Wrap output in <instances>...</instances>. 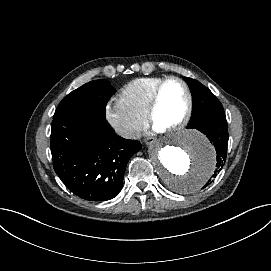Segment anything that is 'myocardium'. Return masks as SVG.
Masks as SVG:
<instances>
[{
    "label": "myocardium",
    "instance_id": "f54148a6",
    "mask_svg": "<svg viewBox=\"0 0 271 271\" xmlns=\"http://www.w3.org/2000/svg\"><path fill=\"white\" fill-rule=\"evenodd\" d=\"M170 81H178L184 86V88L187 92V95H188V106H187V110H186L185 114L178 121H176L173 125H171L167 129H163L162 130L163 132H173V131H177V130L183 128L185 125H187L189 123V121L191 120V118L193 116V112H194V94H193V91H192L189 83L184 78H182L180 76L169 75V76H166L165 78H163L157 84L155 89L153 90L150 106H149L148 112H147V118H148V121L150 122V124L154 128H156L155 115L160 107L161 94H162V91H163V88L165 87V85L167 83H169Z\"/></svg>",
    "mask_w": 271,
    "mask_h": 271
}]
</instances>
